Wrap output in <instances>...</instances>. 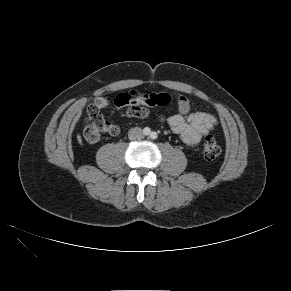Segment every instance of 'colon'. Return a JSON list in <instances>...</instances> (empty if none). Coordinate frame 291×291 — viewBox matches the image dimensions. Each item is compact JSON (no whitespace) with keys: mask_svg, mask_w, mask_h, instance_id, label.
Masks as SVG:
<instances>
[{"mask_svg":"<svg viewBox=\"0 0 291 291\" xmlns=\"http://www.w3.org/2000/svg\"><path fill=\"white\" fill-rule=\"evenodd\" d=\"M135 99L138 103H147L149 106L167 109L170 106V96L168 94L157 93H137L135 96L131 93L119 92L113 99V106L122 111L128 106V102ZM116 132L113 124L106 122L103 116L92 104L88 108L87 124L84 127V138L88 143L94 144L99 140L101 133L113 134ZM221 146L213 136H207L204 140L202 152L206 159L214 160L221 154Z\"/></svg>","mask_w":291,"mask_h":291,"instance_id":"obj_1","label":"colon"}]
</instances>
